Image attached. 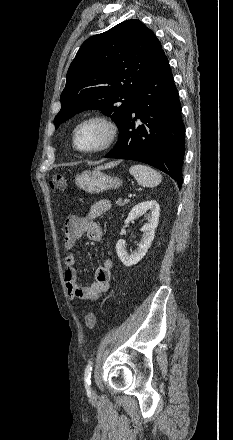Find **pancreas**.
Returning <instances> with one entry per match:
<instances>
[{
    "mask_svg": "<svg viewBox=\"0 0 233 440\" xmlns=\"http://www.w3.org/2000/svg\"><path fill=\"white\" fill-rule=\"evenodd\" d=\"M128 202H129V200H127V199L122 200V198H119V199L116 201V204L119 205V206H124V205L127 204Z\"/></svg>",
    "mask_w": 233,
    "mask_h": 440,
    "instance_id": "1",
    "label": "pancreas"
}]
</instances>
